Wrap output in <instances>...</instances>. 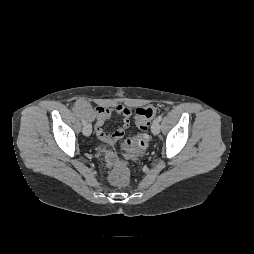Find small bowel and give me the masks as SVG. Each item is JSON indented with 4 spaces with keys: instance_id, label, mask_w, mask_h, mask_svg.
I'll list each match as a JSON object with an SVG mask.
<instances>
[{
    "instance_id": "1",
    "label": "small bowel",
    "mask_w": 254,
    "mask_h": 254,
    "mask_svg": "<svg viewBox=\"0 0 254 254\" xmlns=\"http://www.w3.org/2000/svg\"><path fill=\"white\" fill-rule=\"evenodd\" d=\"M74 109L83 120H95L94 129L97 137L108 144H113L121 139L131 123L132 111L122 104L116 105L114 109L104 107L92 108L86 100L80 99L75 103ZM113 112L122 116V124L115 131L108 133L104 129V124L111 118ZM113 157L114 155L110 151L108 153L109 160H112Z\"/></svg>"
}]
</instances>
